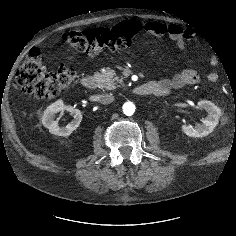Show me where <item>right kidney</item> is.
I'll return each instance as SVG.
<instances>
[{
    "label": "right kidney",
    "instance_id": "obj_1",
    "mask_svg": "<svg viewBox=\"0 0 236 236\" xmlns=\"http://www.w3.org/2000/svg\"><path fill=\"white\" fill-rule=\"evenodd\" d=\"M69 111L74 119L65 127H60L58 121L54 120L58 112ZM82 113L79 109L72 106H65L62 100L51 104L43 113L42 124L49 129V132L58 136H69L80 124Z\"/></svg>",
    "mask_w": 236,
    "mask_h": 236
}]
</instances>
